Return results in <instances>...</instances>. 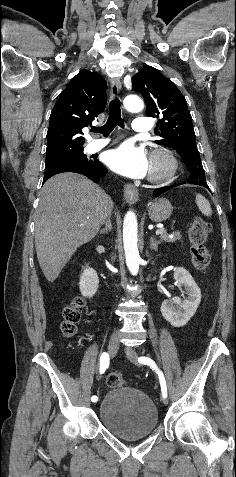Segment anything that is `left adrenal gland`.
<instances>
[{
  "instance_id": "obj_1",
  "label": "left adrenal gland",
  "mask_w": 236,
  "mask_h": 477,
  "mask_svg": "<svg viewBox=\"0 0 236 477\" xmlns=\"http://www.w3.org/2000/svg\"><path fill=\"white\" fill-rule=\"evenodd\" d=\"M160 244V241L155 240L153 237L150 238V248L152 250L157 251L158 245Z\"/></svg>"
}]
</instances>
